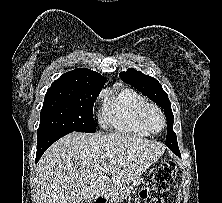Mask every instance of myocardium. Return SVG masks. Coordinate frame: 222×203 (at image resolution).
<instances>
[{
  "instance_id": "myocardium-1",
  "label": "myocardium",
  "mask_w": 222,
  "mask_h": 203,
  "mask_svg": "<svg viewBox=\"0 0 222 203\" xmlns=\"http://www.w3.org/2000/svg\"><path fill=\"white\" fill-rule=\"evenodd\" d=\"M152 111H155L157 112L161 119H162V128L161 130L159 131H155L151 128L150 124H149V121H148V117H149V114L150 112ZM140 118H141V122L143 124V126L151 133V134H160L166 127V117L163 113V111L157 106V105H154V104H147L141 111V114H140Z\"/></svg>"
}]
</instances>
